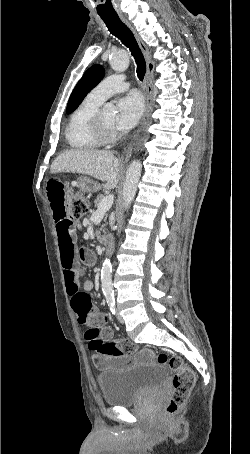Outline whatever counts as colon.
Masks as SVG:
<instances>
[{
	"label": "colon",
	"mask_w": 250,
	"mask_h": 454,
	"mask_svg": "<svg viewBox=\"0 0 250 454\" xmlns=\"http://www.w3.org/2000/svg\"><path fill=\"white\" fill-rule=\"evenodd\" d=\"M89 211L88 199L79 192L72 197L71 218L79 220ZM106 318L90 317L84 321L89 326L85 334L89 349L105 356L121 357L133 355L137 352V347L129 340L119 339L110 340L112 331L105 325ZM146 355L147 352H141ZM157 361L167 365L173 374V392L166 406V414L169 417L176 415L188 401L195 385V374L193 370L186 366L182 359L177 356H169L166 353H159Z\"/></svg>",
	"instance_id": "colon-1"
}]
</instances>
